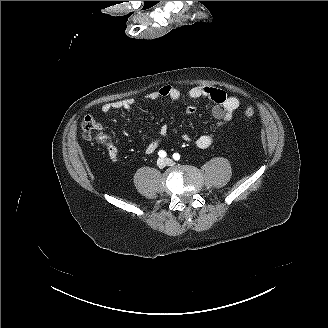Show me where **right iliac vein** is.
<instances>
[{
  "label": "right iliac vein",
  "instance_id": "1",
  "mask_svg": "<svg viewBox=\"0 0 328 328\" xmlns=\"http://www.w3.org/2000/svg\"><path fill=\"white\" fill-rule=\"evenodd\" d=\"M157 165L160 167V168H163L166 164V161L162 158H160L158 161H157Z\"/></svg>",
  "mask_w": 328,
  "mask_h": 328
}]
</instances>
